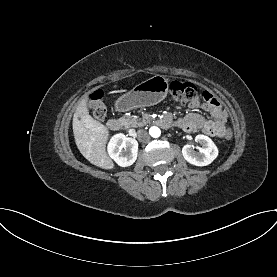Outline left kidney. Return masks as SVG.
Returning a JSON list of instances; mask_svg holds the SVG:
<instances>
[{
  "label": "left kidney",
  "instance_id": "obj_1",
  "mask_svg": "<svg viewBox=\"0 0 277 277\" xmlns=\"http://www.w3.org/2000/svg\"><path fill=\"white\" fill-rule=\"evenodd\" d=\"M195 140L199 142L202 147L199 152L192 150L190 145H185L182 148L184 159L195 166H207L212 163L218 156V148L214 142L206 135H197Z\"/></svg>",
  "mask_w": 277,
  "mask_h": 277
}]
</instances>
